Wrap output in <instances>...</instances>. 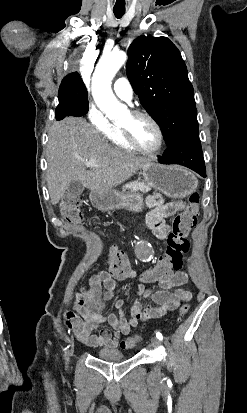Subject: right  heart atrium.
<instances>
[{
  "mask_svg": "<svg viewBox=\"0 0 247 413\" xmlns=\"http://www.w3.org/2000/svg\"><path fill=\"white\" fill-rule=\"evenodd\" d=\"M104 108L102 105H90L87 112L88 119H93L94 127L97 133H109L114 126L110 125L109 119L103 115ZM90 130V129H82Z\"/></svg>",
  "mask_w": 247,
  "mask_h": 413,
  "instance_id": "d8ad5b80",
  "label": "right heart atrium"
}]
</instances>
